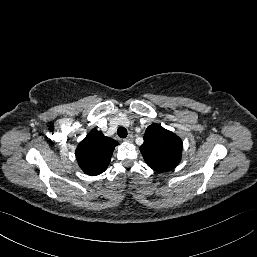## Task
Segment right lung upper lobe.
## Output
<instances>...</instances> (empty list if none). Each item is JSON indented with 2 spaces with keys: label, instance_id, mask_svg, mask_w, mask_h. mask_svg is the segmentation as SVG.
<instances>
[{
  "label": "right lung upper lobe",
  "instance_id": "cb5924a9",
  "mask_svg": "<svg viewBox=\"0 0 257 257\" xmlns=\"http://www.w3.org/2000/svg\"><path fill=\"white\" fill-rule=\"evenodd\" d=\"M117 145V141L92 129L76 148L75 154L80 168L90 176L103 173Z\"/></svg>",
  "mask_w": 257,
  "mask_h": 257
}]
</instances>
